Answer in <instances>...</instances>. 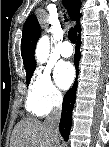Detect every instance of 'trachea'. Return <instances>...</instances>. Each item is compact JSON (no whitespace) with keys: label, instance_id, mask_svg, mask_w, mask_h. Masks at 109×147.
<instances>
[{"label":"trachea","instance_id":"1","mask_svg":"<svg viewBox=\"0 0 109 147\" xmlns=\"http://www.w3.org/2000/svg\"><path fill=\"white\" fill-rule=\"evenodd\" d=\"M67 21V20H66ZM68 38L71 41V43H76L77 39V31L74 28H71L68 32Z\"/></svg>","mask_w":109,"mask_h":147}]
</instances>
